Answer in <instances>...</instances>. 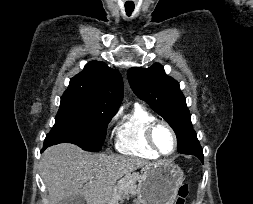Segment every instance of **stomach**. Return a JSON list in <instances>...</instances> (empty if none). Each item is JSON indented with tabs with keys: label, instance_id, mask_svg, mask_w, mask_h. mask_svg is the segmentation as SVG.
<instances>
[{
	"label": "stomach",
	"instance_id": "0dacf381",
	"mask_svg": "<svg viewBox=\"0 0 253 204\" xmlns=\"http://www.w3.org/2000/svg\"><path fill=\"white\" fill-rule=\"evenodd\" d=\"M183 180V171L172 162L146 165L136 191L139 204H174Z\"/></svg>",
	"mask_w": 253,
	"mask_h": 204
}]
</instances>
